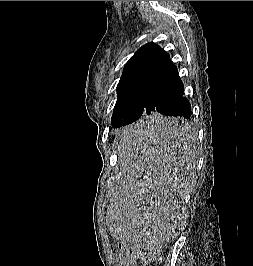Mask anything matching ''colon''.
Listing matches in <instances>:
<instances>
[{"instance_id":"obj_1","label":"colon","mask_w":253,"mask_h":266,"mask_svg":"<svg viewBox=\"0 0 253 266\" xmlns=\"http://www.w3.org/2000/svg\"><path fill=\"white\" fill-rule=\"evenodd\" d=\"M160 248H122L118 247L117 255L122 261L139 259L143 266L159 260Z\"/></svg>"}]
</instances>
